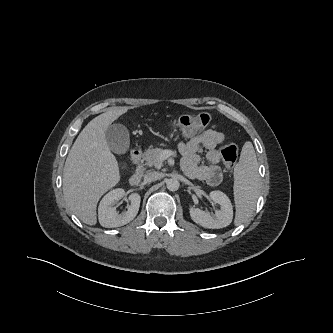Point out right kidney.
<instances>
[{"mask_svg": "<svg viewBox=\"0 0 333 333\" xmlns=\"http://www.w3.org/2000/svg\"><path fill=\"white\" fill-rule=\"evenodd\" d=\"M124 196L125 191L122 188H117L111 190L103 197L98 208V218L101 226L106 228L120 227L136 217L140 207V195L138 193L130 194V206L127 211L119 214L114 205Z\"/></svg>", "mask_w": 333, "mask_h": 333, "instance_id": "right-kidney-1", "label": "right kidney"}]
</instances>
